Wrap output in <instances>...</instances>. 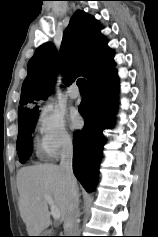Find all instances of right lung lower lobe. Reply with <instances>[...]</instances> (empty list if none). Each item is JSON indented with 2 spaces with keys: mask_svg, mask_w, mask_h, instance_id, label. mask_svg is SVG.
Listing matches in <instances>:
<instances>
[{
  "mask_svg": "<svg viewBox=\"0 0 158 237\" xmlns=\"http://www.w3.org/2000/svg\"><path fill=\"white\" fill-rule=\"evenodd\" d=\"M113 68L87 83L88 95L79 106L84 127L74 134L73 170L88 192L96 185L105 142L102 131L113 124L117 109L118 78Z\"/></svg>",
  "mask_w": 158,
  "mask_h": 237,
  "instance_id": "right-lung-lower-lobe-1",
  "label": "right lung lower lobe"
}]
</instances>
